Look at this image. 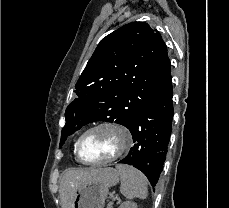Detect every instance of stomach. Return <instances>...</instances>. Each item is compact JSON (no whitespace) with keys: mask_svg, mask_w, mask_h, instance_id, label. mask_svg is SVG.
Listing matches in <instances>:
<instances>
[{"mask_svg":"<svg viewBox=\"0 0 229 208\" xmlns=\"http://www.w3.org/2000/svg\"><path fill=\"white\" fill-rule=\"evenodd\" d=\"M119 182V172L114 168L102 170L101 178L82 182L71 198L69 208H104L109 188Z\"/></svg>","mask_w":229,"mask_h":208,"instance_id":"obj_1","label":"stomach"}]
</instances>
